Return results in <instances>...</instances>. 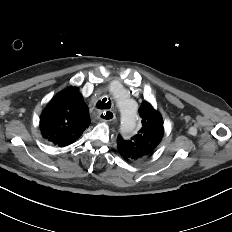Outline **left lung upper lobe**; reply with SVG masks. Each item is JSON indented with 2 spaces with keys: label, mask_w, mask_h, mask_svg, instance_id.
<instances>
[{
  "label": "left lung upper lobe",
  "mask_w": 232,
  "mask_h": 232,
  "mask_svg": "<svg viewBox=\"0 0 232 232\" xmlns=\"http://www.w3.org/2000/svg\"><path fill=\"white\" fill-rule=\"evenodd\" d=\"M142 118V127L130 139L117 138L118 151L121 156L129 161H141L151 156L159 145L163 133V119L148 102H143L139 108Z\"/></svg>",
  "instance_id": "5c2ea615"
}]
</instances>
